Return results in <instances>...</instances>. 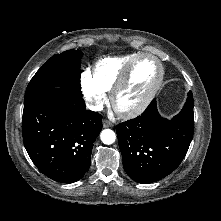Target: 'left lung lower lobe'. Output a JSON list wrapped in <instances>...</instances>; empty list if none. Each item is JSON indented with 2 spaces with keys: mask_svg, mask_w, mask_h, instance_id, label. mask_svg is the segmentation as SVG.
Wrapping results in <instances>:
<instances>
[{
  "mask_svg": "<svg viewBox=\"0 0 221 221\" xmlns=\"http://www.w3.org/2000/svg\"><path fill=\"white\" fill-rule=\"evenodd\" d=\"M193 106L189 91L181 112L168 120L160 116L153 99L141 116L116 126L123 167L130 178L153 183L179 166L193 136Z\"/></svg>",
  "mask_w": 221,
  "mask_h": 221,
  "instance_id": "left-lung-lower-lobe-1",
  "label": "left lung lower lobe"
}]
</instances>
